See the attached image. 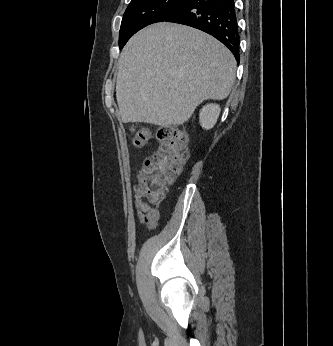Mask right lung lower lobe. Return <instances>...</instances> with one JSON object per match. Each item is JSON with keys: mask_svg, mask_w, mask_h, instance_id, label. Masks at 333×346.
<instances>
[{"mask_svg": "<svg viewBox=\"0 0 333 346\" xmlns=\"http://www.w3.org/2000/svg\"><path fill=\"white\" fill-rule=\"evenodd\" d=\"M164 21L188 25L214 36L240 60L234 0H184Z\"/></svg>", "mask_w": 333, "mask_h": 346, "instance_id": "98d812e1", "label": "right lung lower lobe"}]
</instances>
